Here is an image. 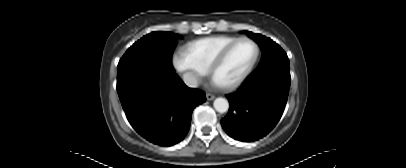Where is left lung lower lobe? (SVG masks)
<instances>
[{
    "mask_svg": "<svg viewBox=\"0 0 406 168\" xmlns=\"http://www.w3.org/2000/svg\"><path fill=\"white\" fill-rule=\"evenodd\" d=\"M291 78L276 70H255L234 93L227 95L230 109L221 120L235 140L252 142L266 136L284 111Z\"/></svg>",
    "mask_w": 406,
    "mask_h": 168,
    "instance_id": "obj_1",
    "label": "left lung lower lobe"
}]
</instances>
